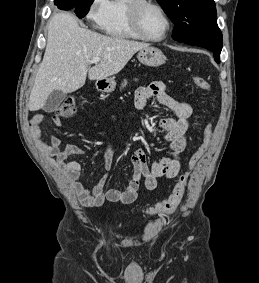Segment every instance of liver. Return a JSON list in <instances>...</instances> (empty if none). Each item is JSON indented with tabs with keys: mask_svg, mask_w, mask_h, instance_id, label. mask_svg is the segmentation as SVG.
Returning <instances> with one entry per match:
<instances>
[{
	"mask_svg": "<svg viewBox=\"0 0 259 283\" xmlns=\"http://www.w3.org/2000/svg\"><path fill=\"white\" fill-rule=\"evenodd\" d=\"M147 43L109 37L79 26L74 15L56 13L49 22L47 45L30 93L29 110L41 109L49 95L71 93L88 78L103 80L119 73ZM101 61L88 69L91 59Z\"/></svg>",
	"mask_w": 259,
	"mask_h": 283,
	"instance_id": "liver-1",
	"label": "liver"
}]
</instances>
